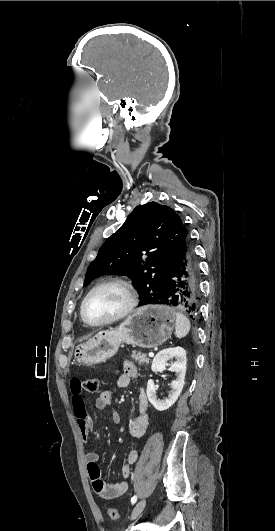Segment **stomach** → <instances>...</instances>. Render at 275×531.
Wrapping results in <instances>:
<instances>
[{"label":"stomach","instance_id":"stomach-1","mask_svg":"<svg viewBox=\"0 0 275 531\" xmlns=\"http://www.w3.org/2000/svg\"><path fill=\"white\" fill-rule=\"evenodd\" d=\"M176 315L170 301H147L120 323L117 329L99 331L87 343L77 345L74 359L78 365H99L116 355L120 345H136L142 349H154L172 335Z\"/></svg>","mask_w":275,"mask_h":531}]
</instances>
